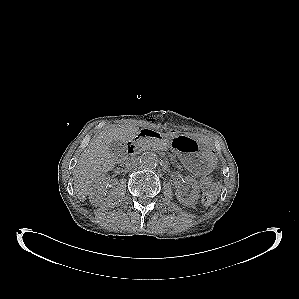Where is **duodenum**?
Returning a JSON list of instances; mask_svg holds the SVG:
<instances>
[{
    "label": "duodenum",
    "mask_w": 299,
    "mask_h": 299,
    "mask_svg": "<svg viewBox=\"0 0 299 299\" xmlns=\"http://www.w3.org/2000/svg\"><path fill=\"white\" fill-rule=\"evenodd\" d=\"M151 136L154 137V132L150 130H142L133 140H131L128 145H127V152L131 155L135 152L136 147H137V142L142 138V137H147Z\"/></svg>",
    "instance_id": "obj_1"
}]
</instances>
